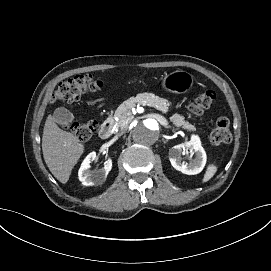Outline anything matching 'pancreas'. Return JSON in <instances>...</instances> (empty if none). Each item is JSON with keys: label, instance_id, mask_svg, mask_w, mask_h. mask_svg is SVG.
I'll return each instance as SVG.
<instances>
[{"label": "pancreas", "instance_id": "1", "mask_svg": "<svg viewBox=\"0 0 271 271\" xmlns=\"http://www.w3.org/2000/svg\"><path fill=\"white\" fill-rule=\"evenodd\" d=\"M135 103H141L142 105H149L166 113L169 110L174 108L172 103L168 104V101L164 98H160L153 94H140L134 100H127L123 102L115 111L114 117L118 118V121H115L117 128L126 129L128 127V123H130L133 119V115L131 113V109L135 106ZM170 121L177 127H182L183 129H187L190 131H195L196 128L194 125L190 124L188 121H185V118L179 114H174L170 117Z\"/></svg>", "mask_w": 271, "mask_h": 271}]
</instances>
